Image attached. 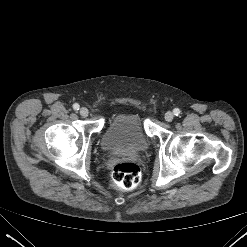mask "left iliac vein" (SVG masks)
Returning <instances> with one entry per match:
<instances>
[{"mask_svg": "<svg viewBox=\"0 0 247 247\" xmlns=\"http://www.w3.org/2000/svg\"><path fill=\"white\" fill-rule=\"evenodd\" d=\"M174 118V114L171 111L166 112L165 114V120L167 122H171Z\"/></svg>", "mask_w": 247, "mask_h": 247, "instance_id": "4c4485c4", "label": "left iliac vein"}]
</instances>
